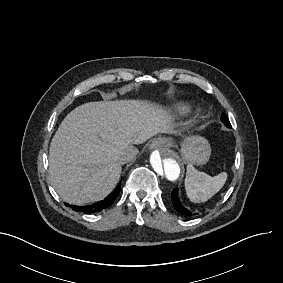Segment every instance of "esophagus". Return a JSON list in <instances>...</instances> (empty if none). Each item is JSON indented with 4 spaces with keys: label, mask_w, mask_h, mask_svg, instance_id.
Instances as JSON below:
<instances>
[{
    "label": "esophagus",
    "mask_w": 283,
    "mask_h": 283,
    "mask_svg": "<svg viewBox=\"0 0 283 283\" xmlns=\"http://www.w3.org/2000/svg\"><path fill=\"white\" fill-rule=\"evenodd\" d=\"M165 143H166V139L159 137L153 140L149 147L150 149H157L164 146Z\"/></svg>",
    "instance_id": "esophagus-1"
}]
</instances>
